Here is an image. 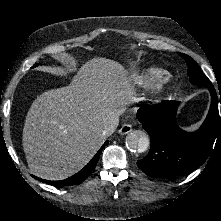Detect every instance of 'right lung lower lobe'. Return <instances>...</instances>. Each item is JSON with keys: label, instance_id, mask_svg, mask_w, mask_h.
Masks as SVG:
<instances>
[{"label": "right lung lower lobe", "instance_id": "1", "mask_svg": "<svg viewBox=\"0 0 221 221\" xmlns=\"http://www.w3.org/2000/svg\"><path fill=\"white\" fill-rule=\"evenodd\" d=\"M108 144V141H106L103 146L100 148V150L95 154V156L91 159V161L82 168L79 172L74 174L73 176L60 180V181H48V180H42L40 178H37L40 181H43L44 183L56 186V187H67L72 185H77L82 183L94 170V168L97 165V162L99 160L100 154L102 149Z\"/></svg>", "mask_w": 221, "mask_h": 221}]
</instances>
